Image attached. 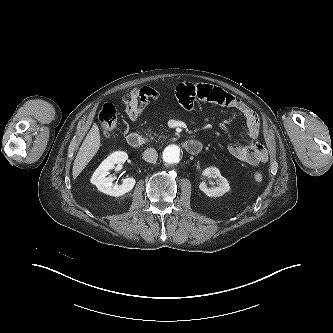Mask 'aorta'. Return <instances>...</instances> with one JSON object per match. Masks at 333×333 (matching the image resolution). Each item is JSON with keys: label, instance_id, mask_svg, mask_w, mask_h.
Listing matches in <instances>:
<instances>
[{"label": "aorta", "instance_id": "aorta-1", "mask_svg": "<svg viewBox=\"0 0 333 333\" xmlns=\"http://www.w3.org/2000/svg\"><path fill=\"white\" fill-rule=\"evenodd\" d=\"M180 147L177 145H169L163 151V160L168 164L179 162Z\"/></svg>", "mask_w": 333, "mask_h": 333}]
</instances>
